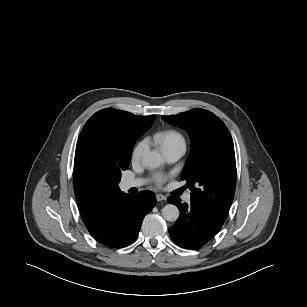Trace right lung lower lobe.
I'll return each mask as SVG.
<instances>
[{"instance_id": "right-lung-lower-lobe-1", "label": "right lung lower lobe", "mask_w": 307, "mask_h": 307, "mask_svg": "<svg viewBox=\"0 0 307 307\" xmlns=\"http://www.w3.org/2000/svg\"><path fill=\"white\" fill-rule=\"evenodd\" d=\"M155 203V195L151 191H141L138 195L125 194L115 203L101 229L91 235L107 247H125L135 241L145 215Z\"/></svg>"}]
</instances>
